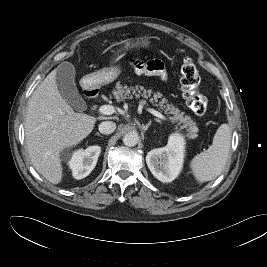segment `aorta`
<instances>
[{
  "mask_svg": "<svg viewBox=\"0 0 267 267\" xmlns=\"http://www.w3.org/2000/svg\"><path fill=\"white\" fill-rule=\"evenodd\" d=\"M139 137L135 132H129L123 136V143L128 147H133L138 143Z\"/></svg>",
  "mask_w": 267,
  "mask_h": 267,
  "instance_id": "1",
  "label": "aorta"
}]
</instances>
